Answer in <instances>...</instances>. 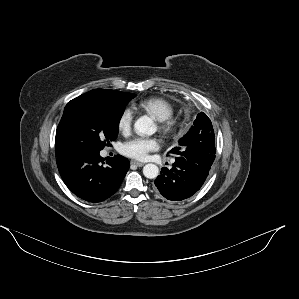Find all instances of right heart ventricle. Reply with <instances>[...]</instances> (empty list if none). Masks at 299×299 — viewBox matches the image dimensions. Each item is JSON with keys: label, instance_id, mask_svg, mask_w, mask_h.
<instances>
[{"label": "right heart ventricle", "instance_id": "1", "mask_svg": "<svg viewBox=\"0 0 299 299\" xmlns=\"http://www.w3.org/2000/svg\"><path fill=\"white\" fill-rule=\"evenodd\" d=\"M134 108L149 114L157 121L169 119L174 113L173 105L161 97L142 99L134 105Z\"/></svg>", "mask_w": 299, "mask_h": 299}]
</instances>
